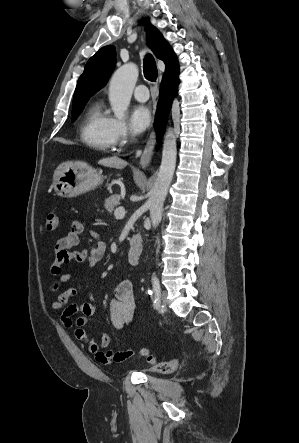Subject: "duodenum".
Here are the masks:
<instances>
[{"label": "duodenum", "mask_w": 299, "mask_h": 443, "mask_svg": "<svg viewBox=\"0 0 299 443\" xmlns=\"http://www.w3.org/2000/svg\"><path fill=\"white\" fill-rule=\"evenodd\" d=\"M142 254V238L140 235L135 234L130 240V246L128 251L129 262L133 265L137 264Z\"/></svg>", "instance_id": "obj_1"}]
</instances>
